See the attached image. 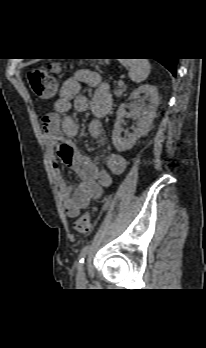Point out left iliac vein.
<instances>
[{
	"label": "left iliac vein",
	"mask_w": 206,
	"mask_h": 348,
	"mask_svg": "<svg viewBox=\"0 0 206 348\" xmlns=\"http://www.w3.org/2000/svg\"><path fill=\"white\" fill-rule=\"evenodd\" d=\"M77 279L78 281H84L85 280V272H84V267L81 265L79 267L78 273H77Z\"/></svg>",
	"instance_id": "obj_1"
}]
</instances>
